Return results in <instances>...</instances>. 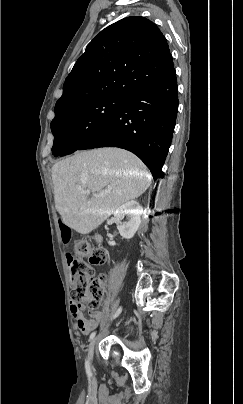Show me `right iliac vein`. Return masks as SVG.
I'll return each instance as SVG.
<instances>
[{
  "label": "right iliac vein",
  "instance_id": "obj_1",
  "mask_svg": "<svg viewBox=\"0 0 243 404\" xmlns=\"http://www.w3.org/2000/svg\"><path fill=\"white\" fill-rule=\"evenodd\" d=\"M96 342H97V338L93 339L88 346V359L90 362H92V360H93Z\"/></svg>",
  "mask_w": 243,
  "mask_h": 404
}]
</instances>
